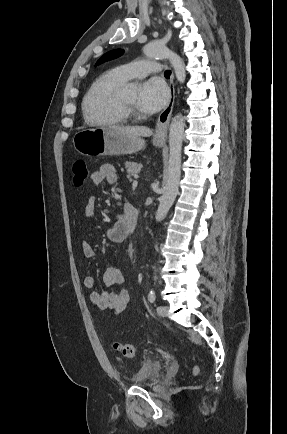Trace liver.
Instances as JSON below:
<instances>
[{
    "instance_id": "6515ba94",
    "label": "liver",
    "mask_w": 287,
    "mask_h": 434,
    "mask_svg": "<svg viewBox=\"0 0 287 434\" xmlns=\"http://www.w3.org/2000/svg\"><path fill=\"white\" fill-rule=\"evenodd\" d=\"M111 128L131 136L149 137L152 135V131L143 126H111Z\"/></svg>"
}]
</instances>
